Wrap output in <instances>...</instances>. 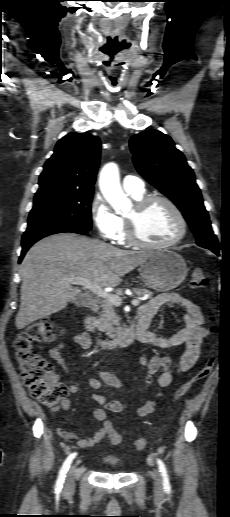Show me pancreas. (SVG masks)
I'll return each mask as SVG.
<instances>
[{
  "label": "pancreas",
  "instance_id": "1",
  "mask_svg": "<svg viewBox=\"0 0 230 517\" xmlns=\"http://www.w3.org/2000/svg\"><path fill=\"white\" fill-rule=\"evenodd\" d=\"M132 291L138 296L147 295L152 297L153 292L145 288H133ZM102 312L96 320L95 326L101 332H104L109 338L116 337L120 331V317L115 312V305L104 300L101 302ZM118 327H114V326Z\"/></svg>",
  "mask_w": 230,
  "mask_h": 517
}]
</instances>
